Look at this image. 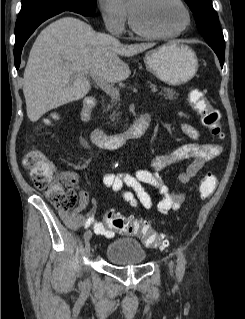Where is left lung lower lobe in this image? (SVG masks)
I'll return each instance as SVG.
<instances>
[{
	"label": "left lung lower lobe",
	"instance_id": "1",
	"mask_svg": "<svg viewBox=\"0 0 245 319\" xmlns=\"http://www.w3.org/2000/svg\"><path fill=\"white\" fill-rule=\"evenodd\" d=\"M211 48L214 50V52L218 56V58L220 60L221 67H222L224 64V51L219 49V48H216V47H211Z\"/></svg>",
	"mask_w": 245,
	"mask_h": 319
}]
</instances>
